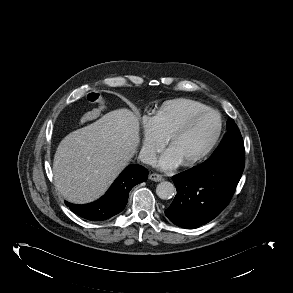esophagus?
<instances>
[{"label":"esophagus","instance_id":"34e87169","mask_svg":"<svg viewBox=\"0 0 293 293\" xmlns=\"http://www.w3.org/2000/svg\"><path fill=\"white\" fill-rule=\"evenodd\" d=\"M149 179L155 182H160L163 180V177L160 174L152 173L150 174Z\"/></svg>","mask_w":293,"mask_h":293}]
</instances>
